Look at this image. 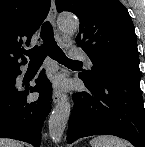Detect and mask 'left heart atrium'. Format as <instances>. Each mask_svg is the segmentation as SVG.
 <instances>
[{
    "instance_id": "39dd6f15",
    "label": "left heart atrium",
    "mask_w": 145,
    "mask_h": 147,
    "mask_svg": "<svg viewBox=\"0 0 145 147\" xmlns=\"http://www.w3.org/2000/svg\"><path fill=\"white\" fill-rule=\"evenodd\" d=\"M56 89H59L61 87V84L60 82H57L56 85H55Z\"/></svg>"
}]
</instances>
